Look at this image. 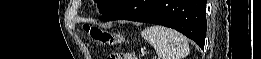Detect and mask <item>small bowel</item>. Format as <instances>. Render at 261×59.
I'll return each mask as SVG.
<instances>
[{"label":"small bowel","instance_id":"c3829d8e","mask_svg":"<svg viewBox=\"0 0 261 59\" xmlns=\"http://www.w3.org/2000/svg\"><path fill=\"white\" fill-rule=\"evenodd\" d=\"M119 56H121L122 58H119V59H127L126 57H133V56H131L130 54H121V55H119ZM134 59V58H133Z\"/></svg>","mask_w":261,"mask_h":59}]
</instances>
